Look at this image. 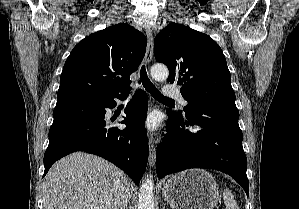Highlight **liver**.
I'll return each mask as SVG.
<instances>
[{"mask_svg":"<svg viewBox=\"0 0 299 209\" xmlns=\"http://www.w3.org/2000/svg\"><path fill=\"white\" fill-rule=\"evenodd\" d=\"M134 184L118 167L84 152L56 162L43 183L44 209H120Z\"/></svg>","mask_w":299,"mask_h":209,"instance_id":"1","label":"liver"}]
</instances>
